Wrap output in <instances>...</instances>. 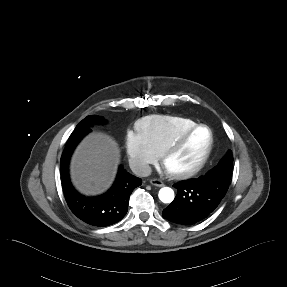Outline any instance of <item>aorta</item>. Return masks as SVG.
Wrapping results in <instances>:
<instances>
[{
    "mask_svg": "<svg viewBox=\"0 0 287 287\" xmlns=\"http://www.w3.org/2000/svg\"><path fill=\"white\" fill-rule=\"evenodd\" d=\"M159 199L163 203H171L174 200V191L170 187H163L159 190Z\"/></svg>",
    "mask_w": 287,
    "mask_h": 287,
    "instance_id": "1",
    "label": "aorta"
}]
</instances>
